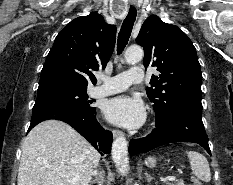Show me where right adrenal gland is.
Listing matches in <instances>:
<instances>
[{
  "label": "right adrenal gland",
  "instance_id": "right-adrenal-gland-1",
  "mask_svg": "<svg viewBox=\"0 0 233 185\" xmlns=\"http://www.w3.org/2000/svg\"><path fill=\"white\" fill-rule=\"evenodd\" d=\"M93 176H95V179L90 182L91 185L95 183H97L98 185H103L104 183V171L103 170H100L98 174L97 173L93 174Z\"/></svg>",
  "mask_w": 233,
  "mask_h": 185
}]
</instances>
